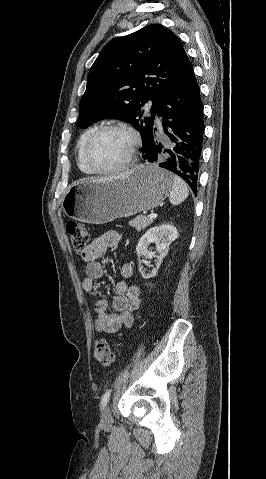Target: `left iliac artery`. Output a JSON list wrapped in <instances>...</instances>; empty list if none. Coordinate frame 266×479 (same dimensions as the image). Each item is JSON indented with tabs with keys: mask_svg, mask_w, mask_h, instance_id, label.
<instances>
[{
	"mask_svg": "<svg viewBox=\"0 0 266 479\" xmlns=\"http://www.w3.org/2000/svg\"><path fill=\"white\" fill-rule=\"evenodd\" d=\"M110 395H111V390H107L104 395L102 396L101 398V406L102 407H105L106 404L108 403L109 399H110Z\"/></svg>",
	"mask_w": 266,
	"mask_h": 479,
	"instance_id": "obj_1",
	"label": "left iliac artery"
}]
</instances>
